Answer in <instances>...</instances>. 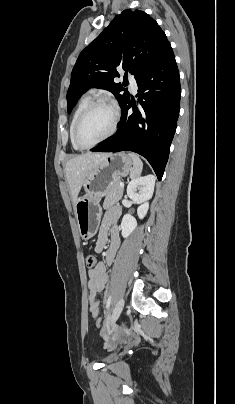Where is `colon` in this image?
Returning <instances> with one entry per match:
<instances>
[{"mask_svg":"<svg viewBox=\"0 0 235 404\" xmlns=\"http://www.w3.org/2000/svg\"><path fill=\"white\" fill-rule=\"evenodd\" d=\"M98 264V260L94 255H88L86 257V265L88 268L92 269ZM96 326L97 327H103L104 326V320L101 317L96 318Z\"/></svg>","mask_w":235,"mask_h":404,"instance_id":"colon-1","label":"colon"}]
</instances>
